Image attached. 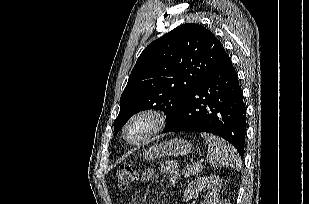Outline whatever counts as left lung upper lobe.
Instances as JSON below:
<instances>
[{
  "label": "left lung upper lobe",
  "instance_id": "1",
  "mask_svg": "<svg viewBox=\"0 0 309 204\" xmlns=\"http://www.w3.org/2000/svg\"><path fill=\"white\" fill-rule=\"evenodd\" d=\"M226 56L221 42L205 27L183 24L150 43L139 56L120 98L117 133L131 116L159 109L166 122L202 78Z\"/></svg>",
  "mask_w": 309,
  "mask_h": 204
}]
</instances>
